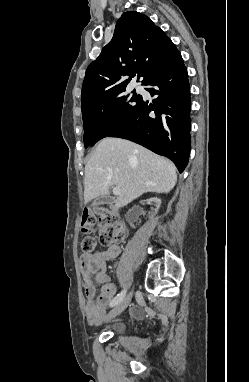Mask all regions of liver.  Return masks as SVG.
I'll use <instances>...</instances> for the list:
<instances>
[{"label":"liver","mask_w":249,"mask_h":382,"mask_svg":"<svg viewBox=\"0 0 249 382\" xmlns=\"http://www.w3.org/2000/svg\"><path fill=\"white\" fill-rule=\"evenodd\" d=\"M177 182L175 165L150 150L121 138L107 137L85 165L84 201L107 196L111 187L124 207L146 192L168 193Z\"/></svg>","instance_id":"6515ba94"}]
</instances>
